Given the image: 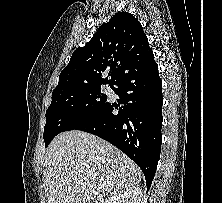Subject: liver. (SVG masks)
<instances>
[{"mask_svg":"<svg viewBox=\"0 0 222 203\" xmlns=\"http://www.w3.org/2000/svg\"><path fill=\"white\" fill-rule=\"evenodd\" d=\"M141 178V169L123 152L80 130L57 135L44 156L47 203H107Z\"/></svg>","mask_w":222,"mask_h":203,"instance_id":"liver-1","label":"liver"}]
</instances>
